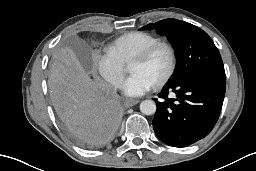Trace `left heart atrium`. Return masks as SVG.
I'll list each match as a JSON object with an SVG mask.
<instances>
[{
	"label": "left heart atrium",
	"mask_w": 256,
	"mask_h": 171,
	"mask_svg": "<svg viewBox=\"0 0 256 171\" xmlns=\"http://www.w3.org/2000/svg\"><path fill=\"white\" fill-rule=\"evenodd\" d=\"M154 87V84L140 73L129 76L122 84V91L125 95L138 97L144 95Z\"/></svg>",
	"instance_id": "39dd6f15"
}]
</instances>
